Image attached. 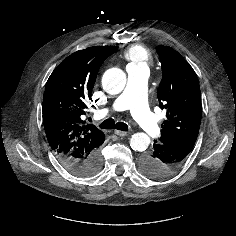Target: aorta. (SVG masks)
<instances>
[{"instance_id":"aorta-1","label":"aorta","mask_w":236,"mask_h":236,"mask_svg":"<svg viewBox=\"0 0 236 236\" xmlns=\"http://www.w3.org/2000/svg\"><path fill=\"white\" fill-rule=\"evenodd\" d=\"M126 85V75L119 68H111L105 71L102 77L103 89L109 94H119ZM150 144V138L143 132L132 135L130 146L134 151H145Z\"/></svg>"}]
</instances>
